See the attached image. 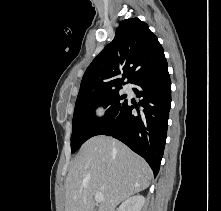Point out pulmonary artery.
<instances>
[{"mask_svg":"<svg viewBox=\"0 0 221 211\" xmlns=\"http://www.w3.org/2000/svg\"><path fill=\"white\" fill-rule=\"evenodd\" d=\"M124 90H125V91H128V90H129V87H128V86H125V87H124Z\"/></svg>","mask_w":221,"mask_h":211,"instance_id":"1","label":"pulmonary artery"}]
</instances>
